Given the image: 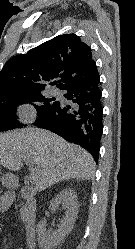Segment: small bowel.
<instances>
[{"label":"small bowel","mask_w":135,"mask_h":249,"mask_svg":"<svg viewBox=\"0 0 135 249\" xmlns=\"http://www.w3.org/2000/svg\"><path fill=\"white\" fill-rule=\"evenodd\" d=\"M4 209V207H1V205H0V210H3ZM23 249V248H22Z\"/></svg>","instance_id":"c3829d8e"}]
</instances>
